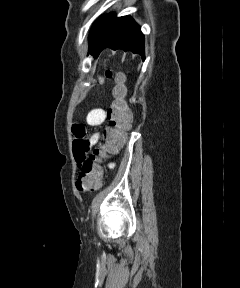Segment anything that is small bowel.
I'll return each instance as SVG.
<instances>
[{
    "label": "small bowel",
    "mask_w": 240,
    "mask_h": 288,
    "mask_svg": "<svg viewBox=\"0 0 240 288\" xmlns=\"http://www.w3.org/2000/svg\"><path fill=\"white\" fill-rule=\"evenodd\" d=\"M107 113L102 108H95L88 112L86 116V124L90 127L101 126ZM73 140V154L78 166L81 168L82 163L86 160L87 153L93 147L100 138V133H94L92 135L87 133L86 127L82 124H74L72 126Z\"/></svg>",
    "instance_id": "1"
}]
</instances>
